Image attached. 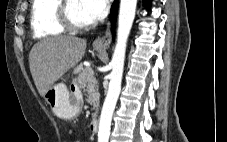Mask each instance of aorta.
I'll return each instance as SVG.
<instances>
[{
	"label": "aorta",
	"instance_id": "762f6f07",
	"mask_svg": "<svg viewBox=\"0 0 227 142\" xmlns=\"http://www.w3.org/2000/svg\"><path fill=\"white\" fill-rule=\"evenodd\" d=\"M137 0H121L117 42L111 60L112 71L99 123L98 142H108L112 115L120 94L127 39L135 18Z\"/></svg>",
	"mask_w": 227,
	"mask_h": 142
}]
</instances>
